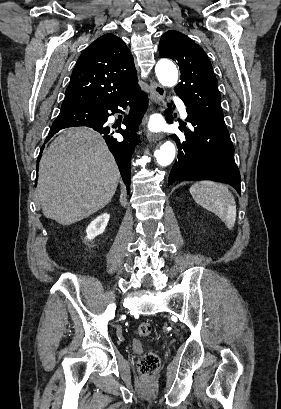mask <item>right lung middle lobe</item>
Returning <instances> with one entry per match:
<instances>
[{"mask_svg":"<svg viewBox=\"0 0 281 409\" xmlns=\"http://www.w3.org/2000/svg\"><path fill=\"white\" fill-rule=\"evenodd\" d=\"M87 120L83 117H74V116H58V118L53 122L52 126H80L86 123Z\"/></svg>","mask_w":281,"mask_h":409,"instance_id":"1","label":"right lung middle lobe"}]
</instances>
